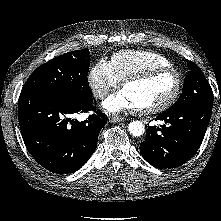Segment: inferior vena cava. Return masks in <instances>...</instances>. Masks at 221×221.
<instances>
[{"mask_svg": "<svg viewBox=\"0 0 221 221\" xmlns=\"http://www.w3.org/2000/svg\"><path fill=\"white\" fill-rule=\"evenodd\" d=\"M102 95H103V96H106V95H107V92H106V91H104V92L102 93Z\"/></svg>", "mask_w": 221, "mask_h": 221, "instance_id": "inferior-vena-cava-1", "label": "inferior vena cava"}]
</instances>
